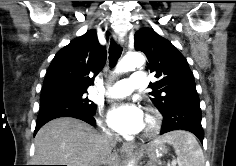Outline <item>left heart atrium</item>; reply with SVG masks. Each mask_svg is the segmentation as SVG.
Returning <instances> with one entry per match:
<instances>
[{
	"label": "left heart atrium",
	"instance_id": "39dd6f15",
	"mask_svg": "<svg viewBox=\"0 0 236 166\" xmlns=\"http://www.w3.org/2000/svg\"><path fill=\"white\" fill-rule=\"evenodd\" d=\"M108 123L122 135H134L145 128L146 119L142 109L134 103L113 106L108 112Z\"/></svg>",
	"mask_w": 236,
	"mask_h": 166
}]
</instances>
